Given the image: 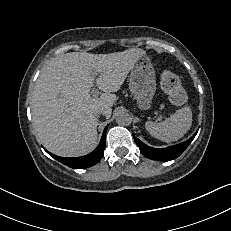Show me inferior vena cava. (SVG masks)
<instances>
[{
  "mask_svg": "<svg viewBox=\"0 0 231 231\" xmlns=\"http://www.w3.org/2000/svg\"><path fill=\"white\" fill-rule=\"evenodd\" d=\"M103 113H104V109L102 108V109L97 110L95 112V115L98 116V115L103 114Z\"/></svg>",
  "mask_w": 231,
  "mask_h": 231,
  "instance_id": "inferior-vena-cava-1",
  "label": "inferior vena cava"
}]
</instances>
